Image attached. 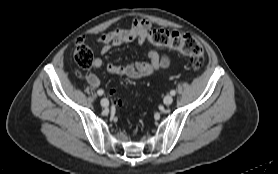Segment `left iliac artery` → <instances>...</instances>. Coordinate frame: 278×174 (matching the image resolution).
<instances>
[{"label":"left iliac artery","instance_id":"1","mask_svg":"<svg viewBox=\"0 0 278 174\" xmlns=\"http://www.w3.org/2000/svg\"><path fill=\"white\" fill-rule=\"evenodd\" d=\"M170 94H171L172 96H174V95L176 94V91H175V90H171V91H170Z\"/></svg>","mask_w":278,"mask_h":174}]
</instances>
